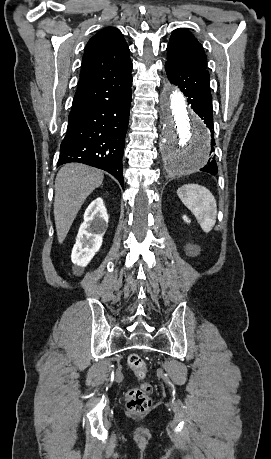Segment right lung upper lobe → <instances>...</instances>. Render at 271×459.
Here are the masks:
<instances>
[{"label": "right lung upper lobe", "mask_w": 271, "mask_h": 459, "mask_svg": "<svg viewBox=\"0 0 271 459\" xmlns=\"http://www.w3.org/2000/svg\"><path fill=\"white\" fill-rule=\"evenodd\" d=\"M129 52V47L119 29L107 27L100 30L86 45L75 96L103 82L130 73L132 62Z\"/></svg>", "instance_id": "1"}]
</instances>
